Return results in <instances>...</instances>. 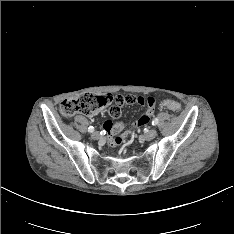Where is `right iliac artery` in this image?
Returning <instances> with one entry per match:
<instances>
[{
    "instance_id": "82829eb1",
    "label": "right iliac artery",
    "mask_w": 234,
    "mask_h": 234,
    "mask_svg": "<svg viewBox=\"0 0 234 234\" xmlns=\"http://www.w3.org/2000/svg\"><path fill=\"white\" fill-rule=\"evenodd\" d=\"M88 132H90V133L94 132V127H93V126H90V127L88 128Z\"/></svg>"
}]
</instances>
